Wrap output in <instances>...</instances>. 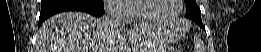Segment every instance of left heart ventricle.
<instances>
[{
    "instance_id": "left-heart-ventricle-1",
    "label": "left heart ventricle",
    "mask_w": 261,
    "mask_h": 52,
    "mask_svg": "<svg viewBox=\"0 0 261 52\" xmlns=\"http://www.w3.org/2000/svg\"><path fill=\"white\" fill-rule=\"evenodd\" d=\"M177 9L176 0H148L141 2V12L155 18H169Z\"/></svg>"
}]
</instances>
